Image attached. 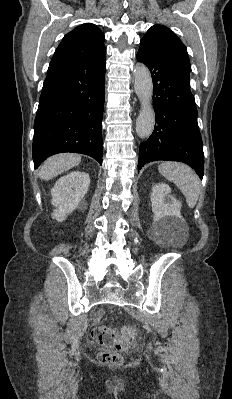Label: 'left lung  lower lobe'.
Segmentation results:
<instances>
[{
	"instance_id": "left-lung-lower-lobe-1",
	"label": "left lung lower lobe",
	"mask_w": 232,
	"mask_h": 399,
	"mask_svg": "<svg viewBox=\"0 0 232 399\" xmlns=\"http://www.w3.org/2000/svg\"><path fill=\"white\" fill-rule=\"evenodd\" d=\"M137 60L151 73L156 121L150 138L140 144L138 172L151 161H179L192 167L202 179L203 143L189 78L159 49L140 46Z\"/></svg>"
}]
</instances>
